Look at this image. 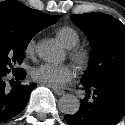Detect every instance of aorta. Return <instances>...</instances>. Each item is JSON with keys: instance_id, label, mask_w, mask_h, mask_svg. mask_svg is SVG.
<instances>
[{"instance_id": "aorta-1", "label": "aorta", "mask_w": 125, "mask_h": 125, "mask_svg": "<svg viewBox=\"0 0 125 125\" xmlns=\"http://www.w3.org/2000/svg\"><path fill=\"white\" fill-rule=\"evenodd\" d=\"M36 51L38 56L46 62H59L63 58L61 48L51 40L40 42ZM58 106L62 113L72 115L79 110L80 102L76 96L66 94L59 99Z\"/></svg>"}]
</instances>
